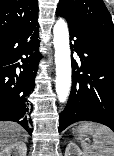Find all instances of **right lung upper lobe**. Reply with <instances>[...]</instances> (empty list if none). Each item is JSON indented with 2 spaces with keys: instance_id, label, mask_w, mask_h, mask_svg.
Instances as JSON below:
<instances>
[{
  "instance_id": "1",
  "label": "right lung upper lobe",
  "mask_w": 114,
  "mask_h": 156,
  "mask_svg": "<svg viewBox=\"0 0 114 156\" xmlns=\"http://www.w3.org/2000/svg\"><path fill=\"white\" fill-rule=\"evenodd\" d=\"M38 18L37 0H0V37Z\"/></svg>"
}]
</instances>
